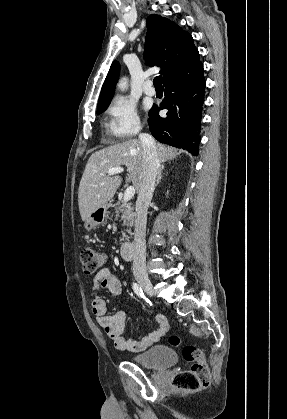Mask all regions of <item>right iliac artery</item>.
Wrapping results in <instances>:
<instances>
[{
	"instance_id": "right-iliac-artery-1",
	"label": "right iliac artery",
	"mask_w": 287,
	"mask_h": 419,
	"mask_svg": "<svg viewBox=\"0 0 287 419\" xmlns=\"http://www.w3.org/2000/svg\"><path fill=\"white\" fill-rule=\"evenodd\" d=\"M133 290L136 293L137 296L144 298V293L143 290L141 288V286L137 283H133Z\"/></svg>"
}]
</instances>
